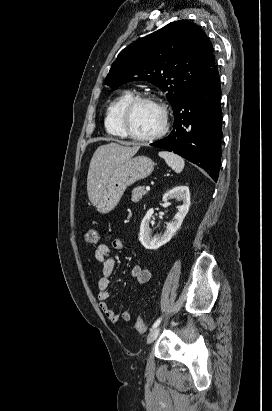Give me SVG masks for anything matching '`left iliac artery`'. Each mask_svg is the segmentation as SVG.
Segmentation results:
<instances>
[{
  "label": "left iliac artery",
  "mask_w": 272,
  "mask_h": 411,
  "mask_svg": "<svg viewBox=\"0 0 272 411\" xmlns=\"http://www.w3.org/2000/svg\"><path fill=\"white\" fill-rule=\"evenodd\" d=\"M161 320H162V317L158 318V319L154 322V324L152 325V329H154V328H156L157 326H159Z\"/></svg>",
  "instance_id": "left-iliac-artery-1"
}]
</instances>
